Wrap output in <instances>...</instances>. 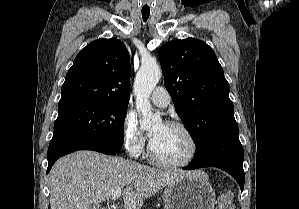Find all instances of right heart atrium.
Instances as JSON below:
<instances>
[{
	"label": "right heart atrium",
	"instance_id": "obj_1",
	"mask_svg": "<svg viewBox=\"0 0 299 209\" xmlns=\"http://www.w3.org/2000/svg\"><path fill=\"white\" fill-rule=\"evenodd\" d=\"M123 141L125 148L133 157H139L145 146V138L134 115L126 114L122 124Z\"/></svg>",
	"mask_w": 299,
	"mask_h": 209
}]
</instances>
